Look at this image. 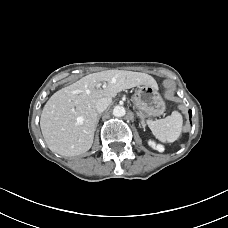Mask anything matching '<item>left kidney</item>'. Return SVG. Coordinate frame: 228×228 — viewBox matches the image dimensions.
Segmentation results:
<instances>
[{"label": "left kidney", "mask_w": 228, "mask_h": 228, "mask_svg": "<svg viewBox=\"0 0 228 228\" xmlns=\"http://www.w3.org/2000/svg\"><path fill=\"white\" fill-rule=\"evenodd\" d=\"M149 146H151L153 149H156L160 152L164 151V147L160 144H156L154 141L149 140L148 141Z\"/></svg>", "instance_id": "obj_1"}]
</instances>
